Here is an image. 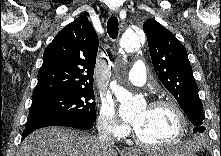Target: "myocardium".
<instances>
[{
    "mask_svg": "<svg viewBox=\"0 0 221 156\" xmlns=\"http://www.w3.org/2000/svg\"><path fill=\"white\" fill-rule=\"evenodd\" d=\"M151 108H157V107H169L171 108L175 114L178 117L179 120V131L177 135L170 141L165 142V143H150L145 140H143L139 134L136 131V128L133 127V138L134 140L142 147L145 148H150V149H164V148H169L172 147L176 144H178L186 135L187 129H188V121L187 117L183 111V109L176 103L174 100L171 99H166V98H161V99H156L152 101L149 105Z\"/></svg>",
    "mask_w": 221,
    "mask_h": 156,
    "instance_id": "myocardium-1",
    "label": "myocardium"
}]
</instances>
